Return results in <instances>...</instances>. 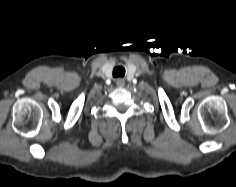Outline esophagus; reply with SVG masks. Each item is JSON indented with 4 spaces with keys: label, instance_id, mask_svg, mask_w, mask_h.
I'll return each instance as SVG.
<instances>
[{
    "label": "esophagus",
    "instance_id": "34e87169",
    "mask_svg": "<svg viewBox=\"0 0 236 187\" xmlns=\"http://www.w3.org/2000/svg\"><path fill=\"white\" fill-rule=\"evenodd\" d=\"M116 84L118 87H123L125 85V80L123 78H117Z\"/></svg>",
    "mask_w": 236,
    "mask_h": 187
}]
</instances>
